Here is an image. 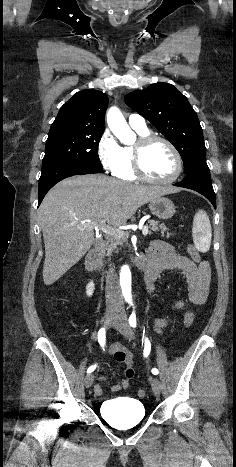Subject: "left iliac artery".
Segmentation results:
<instances>
[{"mask_svg": "<svg viewBox=\"0 0 236 467\" xmlns=\"http://www.w3.org/2000/svg\"><path fill=\"white\" fill-rule=\"evenodd\" d=\"M131 306H133V311H132V314L130 315L129 317V324L131 327L135 328L137 326V321H136V313H135V309H134V305L133 303H130ZM150 350H151V343L150 341L148 340V338H145V346H144V356L147 357L150 353ZM152 373L154 375H157L159 373L158 369L156 368H153L152 369Z\"/></svg>", "mask_w": 236, "mask_h": 467, "instance_id": "left-iliac-artery-1", "label": "left iliac artery"}]
</instances>
